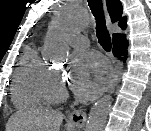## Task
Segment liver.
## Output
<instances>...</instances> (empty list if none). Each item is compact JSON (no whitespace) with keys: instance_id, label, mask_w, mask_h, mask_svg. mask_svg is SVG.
<instances>
[{"instance_id":"1","label":"liver","mask_w":151,"mask_h":131,"mask_svg":"<svg viewBox=\"0 0 151 131\" xmlns=\"http://www.w3.org/2000/svg\"><path fill=\"white\" fill-rule=\"evenodd\" d=\"M63 116L59 111L32 107L15 112L6 131H59Z\"/></svg>"}]
</instances>
